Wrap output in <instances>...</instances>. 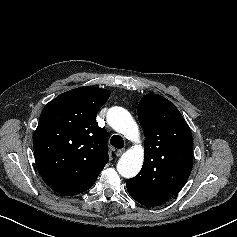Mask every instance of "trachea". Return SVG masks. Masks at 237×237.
<instances>
[{
    "label": "trachea",
    "mask_w": 237,
    "mask_h": 237,
    "mask_svg": "<svg viewBox=\"0 0 237 237\" xmlns=\"http://www.w3.org/2000/svg\"><path fill=\"white\" fill-rule=\"evenodd\" d=\"M110 144L117 149H121L124 147V140L119 135H113L110 139Z\"/></svg>",
    "instance_id": "trachea-1"
}]
</instances>
